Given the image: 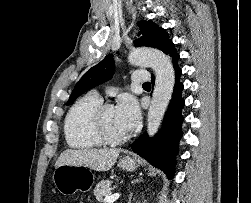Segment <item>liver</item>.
<instances>
[{
  "mask_svg": "<svg viewBox=\"0 0 251 203\" xmlns=\"http://www.w3.org/2000/svg\"><path fill=\"white\" fill-rule=\"evenodd\" d=\"M120 149H67L55 163V167L68 164L85 166L96 171H108L116 162Z\"/></svg>",
  "mask_w": 251,
  "mask_h": 203,
  "instance_id": "1",
  "label": "liver"
}]
</instances>
